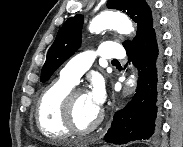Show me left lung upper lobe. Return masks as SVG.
<instances>
[{
  "mask_svg": "<svg viewBox=\"0 0 183 147\" xmlns=\"http://www.w3.org/2000/svg\"><path fill=\"white\" fill-rule=\"evenodd\" d=\"M107 7L125 12L138 25L133 42H123L125 49L146 36L157 25V20L153 17L145 0H108ZM82 25L83 16L78 14L69 18L59 29L54 43L48 50L46 62L41 71V82H46L56 69L80 47Z\"/></svg>",
  "mask_w": 183,
  "mask_h": 147,
  "instance_id": "1",
  "label": "left lung upper lobe"
}]
</instances>
